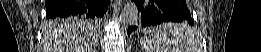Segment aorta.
<instances>
[{
  "label": "aorta",
  "mask_w": 261,
  "mask_h": 52,
  "mask_svg": "<svg viewBox=\"0 0 261 52\" xmlns=\"http://www.w3.org/2000/svg\"><path fill=\"white\" fill-rule=\"evenodd\" d=\"M139 20V12L134 1H127L120 14V21L124 25H135Z\"/></svg>",
  "instance_id": "1"
}]
</instances>
